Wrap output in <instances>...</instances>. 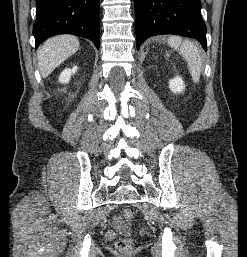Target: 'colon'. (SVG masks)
<instances>
[{"label": "colon", "instance_id": "5ec220e1", "mask_svg": "<svg viewBox=\"0 0 247 257\" xmlns=\"http://www.w3.org/2000/svg\"><path fill=\"white\" fill-rule=\"evenodd\" d=\"M125 220H131L134 217V212L131 209H125L122 213ZM133 241L130 238H122L116 242V249L121 253H127L132 249Z\"/></svg>", "mask_w": 247, "mask_h": 257}]
</instances>
